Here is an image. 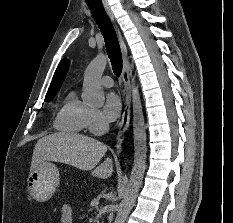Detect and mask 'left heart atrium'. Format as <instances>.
Instances as JSON below:
<instances>
[{
    "instance_id": "left-heart-atrium-1",
    "label": "left heart atrium",
    "mask_w": 233,
    "mask_h": 223,
    "mask_svg": "<svg viewBox=\"0 0 233 223\" xmlns=\"http://www.w3.org/2000/svg\"><path fill=\"white\" fill-rule=\"evenodd\" d=\"M104 115L108 121L117 120L122 113V102L116 94H110L103 107Z\"/></svg>"
}]
</instances>
